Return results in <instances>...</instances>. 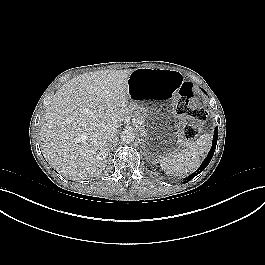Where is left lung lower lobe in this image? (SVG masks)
<instances>
[{
	"label": "left lung lower lobe",
	"instance_id": "left-lung-lower-lobe-1",
	"mask_svg": "<svg viewBox=\"0 0 265 265\" xmlns=\"http://www.w3.org/2000/svg\"><path fill=\"white\" fill-rule=\"evenodd\" d=\"M217 137H218V128L216 127L215 131H214L213 143H212V147L210 149V152L208 153L207 157L203 161L202 165L198 168V170L196 172L192 173L190 176H188V178L185 179L184 183L193 179L196 175L200 174L207 167V165L209 164V162L211 161V159L214 155L216 144H217Z\"/></svg>",
	"mask_w": 265,
	"mask_h": 265
}]
</instances>
